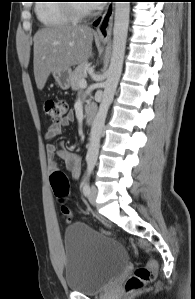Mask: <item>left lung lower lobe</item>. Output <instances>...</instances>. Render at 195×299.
Instances as JSON below:
<instances>
[{
  "mask_svg": "<svg viewBox=\"0 0 195 299\" xmlns=\"http://www.w3.org/2000/svg\"><path fill=\"white\" fill-rule=\"evenodd\" d=\"M98 23H99V19L94 24L97 25Z\"/></svg>",
  "mask_w": 195,
  "mask_h": 299,
  "instance_id": "left-lung-lower-lobe-1",
  "label": "left lung lower lobe"
}]
</instances>
